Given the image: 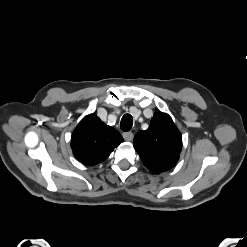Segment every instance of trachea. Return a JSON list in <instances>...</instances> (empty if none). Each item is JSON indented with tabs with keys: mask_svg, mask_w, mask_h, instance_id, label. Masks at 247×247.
<instances>
[{
	"mask_svg": "<svg viewBox=\"0 0 247 247\" xmlns=\"http://www.w3.org/2000/svg\"><path fill=\"white\" fill-rule=\"evenodd\" d=\"M133 125V118L130 114H125L120 123V127L122 131L127 132L132 128Z\"/></svg>",
	"mask_w": 247,
	"mask_h": 247,
	"instance_id": "3493384b",
	"label": "trachea"
}]
</instances>
